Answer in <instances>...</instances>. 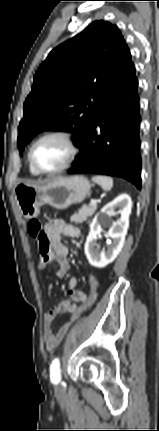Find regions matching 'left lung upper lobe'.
<instances>
[{"instance_id":"obj_1","label":"left lung upper lobe","mask_w":159,"mask_h":431,"mask_svg":"<svg viewBox=\"0 0 159 431\" xmlns=\"http://www.w3.org/2000/svg\"><path fill=\"white\" fill-rule=\"evenodd\" d=\"M132 64L121 32L102 20L53 49L38 68L24 103L18 128L20 153L44 130L71 132L78 146L97 110Z\"/></svg>"}]
</instances>
